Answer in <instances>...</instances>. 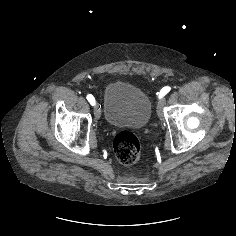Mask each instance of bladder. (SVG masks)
Returning a JSON list of instances; mask_svg holds the SVG:
<instances>
[{"label": "bladder", "instance_id": "bladder-1", "mask_svg": "<svg viewBox=\"0 0 236 236\" xmlns=\"http://www.w3.org/2000/svg\"><path fill=\"white\" fill-rule=\"evenodd\" d=\"M102 113L110 126L141 128L150 120L152 103L141 89L123 81H115L105 90Z\"/></svg>", "mask_w": 236, "mask_h": 236}]
</instances>
